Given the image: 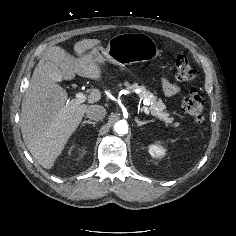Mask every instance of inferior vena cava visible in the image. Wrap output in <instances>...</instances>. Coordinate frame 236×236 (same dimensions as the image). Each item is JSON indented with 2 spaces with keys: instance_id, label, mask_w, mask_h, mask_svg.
Instances as JSON below:
<instances>
[{
  "instance_id": "inferior-vena-cava-1",
  "label": "inferior vena cava",
  "mask_w": 236,
  "mask_h": 236,
  "mask_svg": "<svg viewBox=\"0 0 236 236\" xmlns=\"http://www.w3.org/2000/svg\"><path fill=\"white\" fill-rule=\"evenodd\" d=\"M89 119L100 121L106 116V109L101 105H91L86 110Z\"/></svg>"
}]
</instances>
